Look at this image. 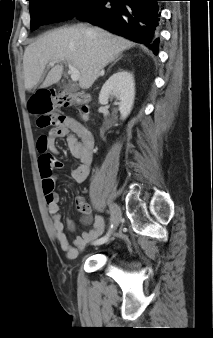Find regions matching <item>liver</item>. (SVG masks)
Masks as SVG:
<instances>
[{
    "label": "liver",
    "mask_w": 213,
    "mask_h": 338,
    "mask_svg": "<svg viewBox=\"0 0 213 338\" xmlns=\"http://www.w3.org/2000/svg\"><path fill=\"white\" fill-rule=\"evenodd\" d=\"M134 45L132 41L103 29L83 24L48 32L25 49V88L31 91L39 84L50 62L56 65L51 68L41 87L57 83L63 74L61 63L67 61L79 70L80 87L88 89L109 62Z\"/></svg>",
    "instance_id": "obj_1"
}]
</instances>
